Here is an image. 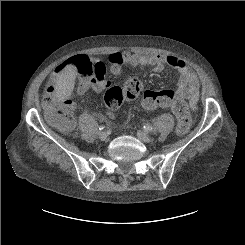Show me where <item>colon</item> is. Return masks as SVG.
Listing matches in <instances>:
<instances>
[{
    "label": "colon",
    "instance_id": "obj_1",
    "mask_svg": "<svg viewBox=\"0 0 245 245\" xmlns=\"http://www.w3.org/2000/svg\"><path fill=\"white\" fill-rule=\"evenodd\" d=\"M68 66L83 77H89L102 81L105 77V65L86 55L74 56ZM142 81L138 77L130 78L123 87L107 88L104 95V104L109 113L119 109L124 101L135 99L142 91ZM44 106L48 121L67 134L73 128L71 116L72 101L68 97L61 96L53 90L44 95ZM142 103L147 109L169 108L177 119L176 132L185 135L191 125L189 106L185 99L174 90L146 91L142 97Z\"/></svg>",
    "mask_w": 245,
    "mask_h": 245
}]
</instances>
